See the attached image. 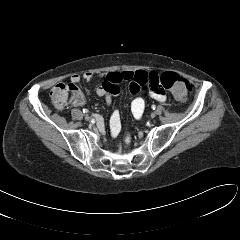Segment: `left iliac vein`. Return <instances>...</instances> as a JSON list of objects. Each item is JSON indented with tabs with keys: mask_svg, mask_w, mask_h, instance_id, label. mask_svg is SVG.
I'll return each mask as SVG.
<instances>
[{
	"mask_svg": "<svg viewBox=\"0 0 240 240\" xmlns=\"http://www.w3.org/2000/svg\"><path fill=\"white\" fill-rule=\"evenodd\" d=\"M156 116V113L151 114V118H154Z\"/></svg>",
	"mask_w": 240,
	"mask_h": 240,
	"instance_id": "obj_1",
	"label": "left iliac vein"
}]
</instances>
